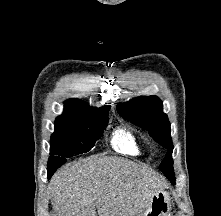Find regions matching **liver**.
<instances>
[{
  "mask_svg": "<svg viewBox=\"0 0 221 216\" xmlns=\"http://www.w3.org/2000/svg\"><path fill=\"white\" fill-rule=\"evenodd\" d=\"M164 186L151 168L93 155L58 170L49 194L55 216H143L153 194Z\"/></svg>",
  "mask_w": 221,
  "mask_h": 216,
  "instance_id": "1",
  "label": "liver"
}]
</instances>
